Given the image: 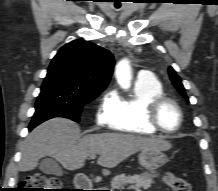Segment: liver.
<instances>
[{
  "label": "liver",
  "mask_w": 218,
  "mask_h": 191,
  "mask_svg": "<svg viewBox=\"0 0 218 191\" xmlns=\"http://www.w3.org/2000/svg\"><path fill=\"white\" fill-rule=\"evenodd\" d=\"M170 148L171 144L162 139L133 134L97 133L81 138L75 122L53 118L36 127L24 141L19 170L35 169L44 156L55 158L68 170H76L84 166L88 156L96 154L100 166L114 168L138 151H167ZM103 173L109 174V171L104 169Z\"/></svg>",
  "instance_id": "6515ba94"
}]
</instances>
